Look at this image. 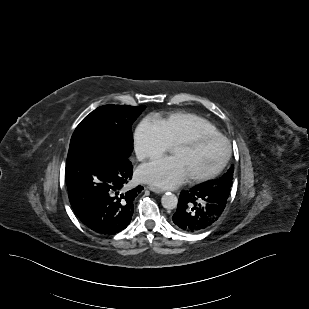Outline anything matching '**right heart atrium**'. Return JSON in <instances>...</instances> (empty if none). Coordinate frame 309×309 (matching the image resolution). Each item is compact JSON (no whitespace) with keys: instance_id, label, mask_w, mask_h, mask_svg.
I'll use <instances>...</instances> for the list:
<instances>
[{"instance_id":"obj_1","label":"right heart atrium","mask_w":309,"mask_h":309,"mask_svg":"<svg viewBox=\"0 0 309 309\" xmlns=\"http://www.w3.org/2000/svg\"><path fill=\"white\" fill-rule=\"evenodd\" d=\"M169 146L161 128L155 121L145 118L139 122L134 131V149L140 161L160 157Z\"/></svg>"}]
</instances>
